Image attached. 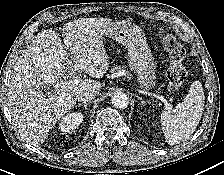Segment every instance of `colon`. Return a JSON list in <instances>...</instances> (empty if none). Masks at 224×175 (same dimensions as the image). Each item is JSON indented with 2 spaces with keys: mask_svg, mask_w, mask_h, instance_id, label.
Segmentation results:
<instances>
[{
  "mask_svg": "<svg viewBox=\"0 0 224 175\" xmlns=\"http://www.w3.org/2000/svg\"><path fill=\"white\" fill-rule=\"evenodd\" d=\"M164 47L168 53L170 66L166 72L169 89L178 90L184 83L187 73L183 67L185 59V49L183 45L172 35H165Z\"/></svg>",
  "mask_w": 224,
  "mask_h": 175,
  "instance_id": "obj_1",
  "label": "colon"
}]
</instances>
